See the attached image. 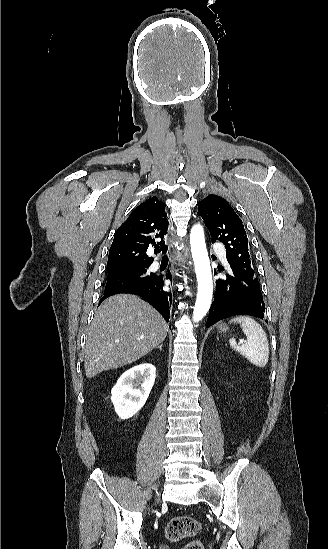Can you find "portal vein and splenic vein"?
Instances as JSON below:
<instances>
[{"instance_id": "1", "label": "portal vein and splenic vein", "mask_w": 328, "mask_h": 549, "mask_svg": "<svg viewBox=\"0 0 328 549\" xmlns=\"http://www.w3.org/2000/svg\"><path fill=\"white\" fill-rule=\"evenodd\" d=\"M240 343H246V341H244V340H241V341H240Z\"/></svg>"}]
</instances>
